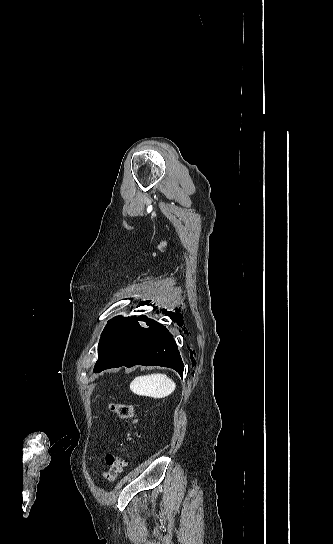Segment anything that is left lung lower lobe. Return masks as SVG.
Instances as JSON below:
<instances>
[{"label":"left lung lower lobe","mask_w":333,"mask_h":544,"mask_svg":"<svg viewBox=\"0 0 333 544\" xmlns=\"http://www.w3.org/2000/svg\"><path fill=\"white\" fill-rule=\"evenodd\" d=\"M137 364L169 367L182 376L183 362L177 344L165 326L158 323L149 329L139 327L138 333L126 347L106 350L103 362L94 368V372Z\"/></svg>","instance_id":"left-lung-lower-lobe-1"}]
</instances>
